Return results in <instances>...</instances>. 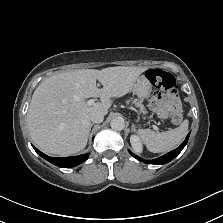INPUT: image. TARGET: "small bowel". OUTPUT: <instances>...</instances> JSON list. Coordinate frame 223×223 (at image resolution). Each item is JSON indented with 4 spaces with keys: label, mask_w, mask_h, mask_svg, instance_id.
<instances>
[{
    "label": "small bowel",
    "mask_w": 223,
    "mask_h": 223,
    "mask_svg": "<svg viewBox=\"0 0 223 223\" xmlns=\"http://www.w3.org/2000/svg\"><path fill=\"white\" fill-rule=\"evenodd\" d=\"M150 107L161 117L166 118L170 112L180 110V99L176 94L155 92L150 98Z\"/></svg>",
    "instance_id": "small-bowel-1"
}]
</instances>
